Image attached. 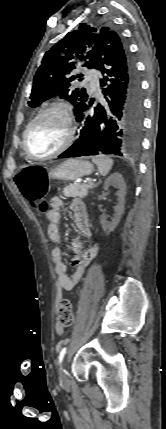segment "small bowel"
<instances>
[{"mask_svg": "<svg viewBox=\"0 0 166 429\" xmlns=\"http://www.w3.org/2000/svg\"><path fill=\"white\" fill-rule=\"evenodd\" d=\"M61 204V200L59 198H55L52 201L53 208L46 214V218L49 222L47 227L48 237L55 244L51 250V259L55 264V272L57 274V297H60L64 290H71L80 281L87 266L98 253V247L96 245L85 250L83 242L80 238L73 239L71 246L75 253L74 257L72 258L74 272L70 276L66 274V265L62 262V251L59 246L61 238L59 231ZM71 210L73 212L74 221L79 232L85 237H90L92 234L90 221L84 205L80 201H74L71 205ZM56 333L58 335H62L63 328L57 325Z\"/></svg>", "mask_w": 166, "mask_h": 429, "instance_id": "obj_1", "label": "small bowel"}]
</instances>
